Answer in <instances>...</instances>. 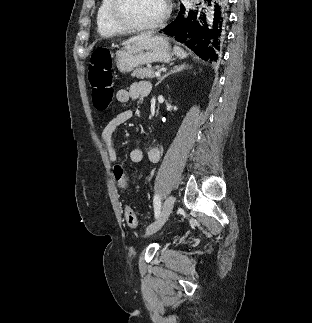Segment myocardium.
I'll return each mask as SVG.
<instances>
[{
	"instance_id": "1",
	"label": "myocardium",
	"mask_w": 312,
	"mask_h": 323,
	"mask_svg": "<svg viewBox=\"0 0 312 323\" xmlns=\"http://www.w3.org/2000/svg\"><path fill=\"white\" fill-rule=\"evenodd\" d=\"M107 2L110 4L107 16L112 21H117L118 25H122L124 31H150V27L164 25L165 21H169L172 12V0H161L163 8L155 20H125L120 12L123 8L121 0H107Z\"/></svg>"
}]
</instances>
